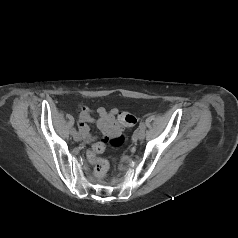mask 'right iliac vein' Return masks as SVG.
I'll use <instances>...</instances> for the list:
<instances>
[{"label": "right iliac vein", "instance_id": "63e3f726", "mask_svg": "<svg viewBox=\"0 0 238 238\" xmlns=\"http://www.w3.org/2000/svg\"><path fill=\"white\" fill-rule=\"evenodd\" d=\"M73 138L76 142H79L81 140V134L80 133H76L73 135Z\"/></svg>", "mask_w": 238, "mask_h": 238}]
</instances>
